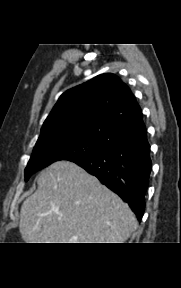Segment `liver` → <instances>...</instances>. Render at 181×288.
I'll list each match as a JSON object with an SVG mask.
<instances>
[{
	"mask_svg": "<svg viewBox=\"0 0 181 288\" xmlns=\"http://www.w3.org/2000/svg\"><path fill=\"white\" fill-rule=\"evenodd\" d=\"M37 183L20 212L26 243H124L137 228L130 207L72 162L51 164Z\"/></svg>",
	"mask_w": 181,
	"mask_h": 288,
	"instance_id": "obj_1",
	"label": "liver"
}]
</instances>
